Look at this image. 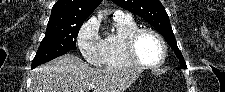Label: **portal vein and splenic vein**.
<instances>
[{"mask_svg":"<svg viewBox=\"0 0 225 92\" xmlns=\"http://www.w3.org/2000/svg\"><path fill=\"white\" fill-rule=\"evenodd\" d=\"M93 88H95V85L94 84H90L89 85V89H93Z\"/></svg>","mask_w":225,"mask_h":92,"instance_id":"18ae733b","label":"portal vein and splenic vein"}]
</instances>
